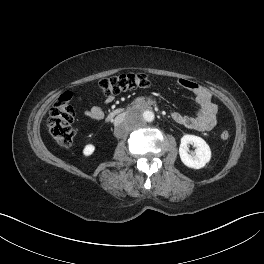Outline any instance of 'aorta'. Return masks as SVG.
Segmentation results:
<instances>
[{
    "instance_id": "1",
    "label": "aorta",
    "mask_w": 264,
    "mask_h": 264,
    "mask_svg": "<svg viewBox=\"0 0 264 264\" xmlns=\"http://www.w3.org/2000/svg\"><path fill=\"white\" fill-rule=\"evenodd\" d=\"M141 118L145 122H152L155 118V115L152 111L150 110H145L140 113Z\"/></svg>"
}]
</instances>
